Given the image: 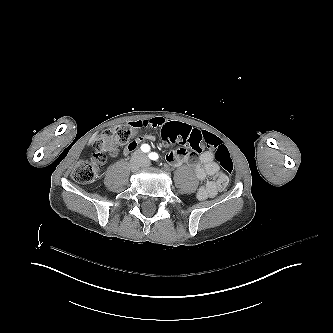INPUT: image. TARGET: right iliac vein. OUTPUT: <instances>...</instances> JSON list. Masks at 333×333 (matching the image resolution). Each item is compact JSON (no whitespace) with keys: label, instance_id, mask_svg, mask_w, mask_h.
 <instances>
[{"label":"right iliac vein","instance_id":"right-iliac-vein-1","mask_svg":"<svg viewBox=\"0 0 333 333\" xmlns=\"http://www.w3.org/2000/svg\"><path fill=\"white\" fill-rule=\"evenodd\" d=\"M142 157H144V156H142ZM142 157H141V158H142ZM132 168H133V169H138V168H139V164H132Z\"/></svg>","mask_w":333,"mask_h":333}]
</instances>
